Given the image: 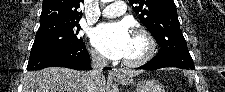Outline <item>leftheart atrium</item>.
Here are the masks:
<instances>
[{
  "label": "left heart atrium",
  "instance_id": "39dd6f15",
  "mask_svg": "<svg viewBox=\"0 0 225 92\" xmlns=\"http://www.w3.org/2000/svg\"><path fill=\"white\" fill-rule=\"evenodd\" d=\"M94 47L105 57L118 60L125 58L132 40L129 26L123 22L105 23L92 31Z\"/></svg>",
  "mask_w": 225,
  "mask_h": 92
}]
</instances>
